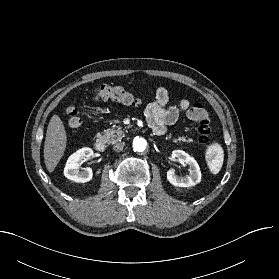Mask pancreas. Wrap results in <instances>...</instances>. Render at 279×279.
<instances>
[{
  "mask_svg": "<svg viewBox=\"0 0 279 279\" xmlns=\"http://www.w3.org/2000/svg\"><path fill=\"white\" fill-rule=\"evenodd\" d=\"M125 136L123 128L117 127L116 129H107L103 132V135L100 136L103 140H105L108 144H114ZM190 142V139L187 140L185 137H178L174 139L173 142Z\"/></svg>",
  "mask_w": 279,
  "mask_h": 279,
  "instance_id": "cf45deb5",
  "label": "pancreas"
}]
</instances>
